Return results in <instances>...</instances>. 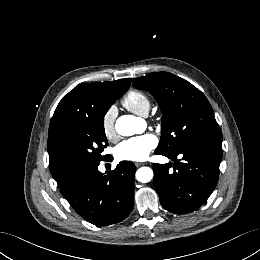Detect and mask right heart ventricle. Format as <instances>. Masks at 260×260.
<instances>
[{
  "label": "right heart ventricle",
  "instance_id": "right-heart-ventricle-1",
  "mask_svg": "<svg viewBox=\"0 0 260 260\" xmlns=\"http://www.w3.org/2000/svg\"><path fill=\"white\" fill-rule=\"evenodd\" d=\"M122 103L126 109L138 115H146L151 107L148 95L139 90L129 91Z\"/></svg>",
  "mask_w": 260,
  "mask_h": 260
}]
</instances>
